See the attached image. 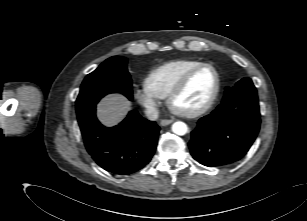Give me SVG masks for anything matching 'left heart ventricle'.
Instances as JSON below:
<instances>
[{"instance_id":"1","label":"left heart ventricle","mask_w":307,"mask_h":221,"mask_svg":"<svg viewBox=\"0 0 307 221\" xmlns=\"http://www.w3.org/2000/svg\"><path fill=\"white\" fill-rule=\"evenodd\" d=\"M215 82L216 78L212 69L200 70L192 78L184 92L175 100V107L184 112L200 108L210 99Z\"/></svg>"}]
</instances>
